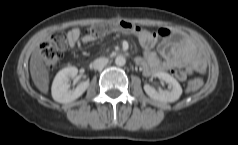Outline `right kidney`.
<instances>
[{"label":"right kidney","mask_w":238,"mask_h":145,"mask_svg":"<svg viewBox=\"0 0 238 145\" xmlns=\"http://www.w3.org/2000/svg\"><path fill=\"white\" fill-rule=\"evenodd\" d=\"M78 69L68 66L60 70L54 78L52 84V97L56 102L69 103L79 98L89 87V81L81 82L75 90H70L69 79L74 78Z\"/></svg>","instance_id":"right-kidney-1"}]
</instances>
